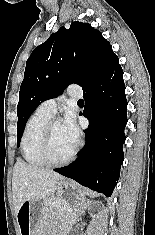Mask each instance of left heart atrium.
I'll return each instance as SVG.
<instances>
[{"mask_svg": "<svg viewBox=\"0 0 155 235\" xmlns=\"http://www.w3.org/2000/svg\"><path fill=\"white\" fill-rule=\"evenodd\" d=\"M62 126L70 141L76 145L79 139V129L74 117L71 114H67L63 120Z\"/></svg>", "mask_w": 155, "mask_h": 235, "instance_id": "1", "label": "left heart atrium"}]
</instances>
